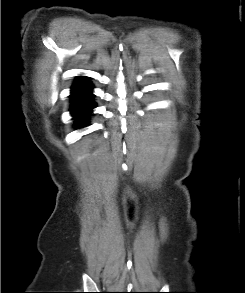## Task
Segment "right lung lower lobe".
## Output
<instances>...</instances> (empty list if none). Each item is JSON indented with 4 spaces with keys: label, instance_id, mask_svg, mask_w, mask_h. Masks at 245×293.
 Segmentation results:
<instances>
[{
    "label": "right lung lower lobe",
    "instance_id": "right-lung-lower-lobe-1",
    "mask_svg": "<svg viewBox=\"0 0 245 293\" xmlns=\"http://www.w3.org/2000/svg\"><path fill=\"white\" fill-rule=\"evenodd\" d=\"M93 86L86 77L80 76L72 86L70 112L79 128L88 125L91 110L96 107L92 94Z\"/></svg>",
    "mask_w": 245,
    "mask_h": 293
}]
</instances>
